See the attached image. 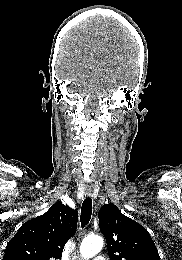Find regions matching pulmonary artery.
Masks as SVG:
<instances>
[{"instance_id": "obj_1", "label": "pulmonary artery", "mask_w": 182, "mask_h": 260, "mask_svg": "<svg viewBox=\"0 0 182 260\" xmlns=\"http://www.w3.org/2000/svg\"><path fill=\"white\" fill-rule=\"evenodd\" d=\"M93 260H105V258L103 256H97Z\"/></svg>"}]
</instances>
